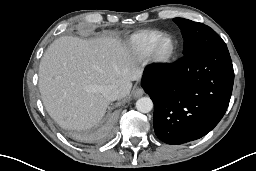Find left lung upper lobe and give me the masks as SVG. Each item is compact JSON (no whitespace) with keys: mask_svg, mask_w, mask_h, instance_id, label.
<instances>
[{"mask_svg":"<svg viewBox=\"0 0 256 171\" xmlns=\"http://www.w3.org/2000/svg\"><path fill=\"white\" fill-rule=\"evenodd\" d=\"M174 21L182 31L184 55L202 47L226 45L219 35L207 25L183 18H174Z\"/></svg>","mask_w":256,"mask_h":171,"instance_id":"5c2ea615","label":"left lung upper lobe"}]
</instances>
